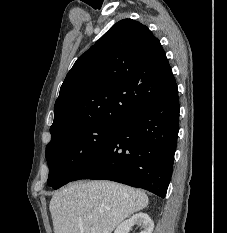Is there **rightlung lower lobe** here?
Instances as JSON below:
<instances>
[{"mask_svg": "<svg viewBox=\"0 0 227 233\" xmlns=\"http://www.w3.org/2000/svg\"><path fill=\"white\" fill-rule=\"evenodd\" d=\"M179 110L175 85L159 99L125 118L71 181L112 180L164 198L173 170Z\"/></svg>", "mask_w": 227, "mask_h": 233, "instance_id": "right-lung-lower-lobe-1", "label": "right lung lower lobe"}]
</instances>
